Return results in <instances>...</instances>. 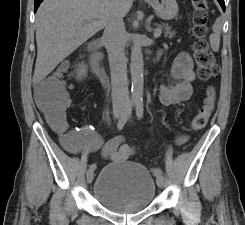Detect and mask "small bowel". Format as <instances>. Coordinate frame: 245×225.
Instances as JSON below:
<instances>
[{
  "mask_svg": "<svg viewBox=\"0 0 245 225\" xmlns=\"http://www.w3.org/2000/svg\"><path fill=\"white\" fill-rule=\"evenodd\" d=\"M67 65L68 62H64L61 67L65 68ZM194 80L195 74L191 56L186 52L178 53L171 67L167 83L160 88L159 98L161 104L169 106L188 100L193 92L192 83ZM39 85L40 83L37 84V89ZM68 101L69 106L66 109L71 107L69 95ZM59 122L65 129L71 127V130L68 132V136L70 137L68 148L73 153L93 151L101 148L102 155L110 162H119L134 156L132 147L124 145L122 137H113L104 143L98 135L93 133L90 126L77 130L76 127L67 125L62 120ZM175 141L178 144H182L185 141V136L180 135Z\"/></svg>",
  "mask_w": 245,
  "mask_h": 225,
  "instance_id": "small-bowel-1",
  "label": "small bowel"
}]
</instances>
